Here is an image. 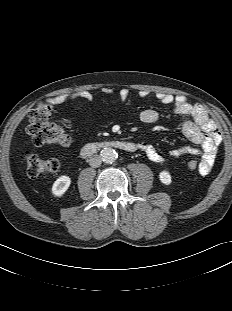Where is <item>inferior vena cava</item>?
<instances>
[{"instance_id": "obj_1", "label": "inferior vena cava", "mask_w": 232, "mask_h": 311, "mask_svg": "<svg viewBox=\"0 0 232 311\" xmlns=\"http://www.w3.org/2000/svg\"><path fill=\"white\" fill-rule=\"evenodd\" d=\"M102 158L99 155H93L89 159V165L93 168H97L101 165Z\"/></svg>"}]
</instances>
